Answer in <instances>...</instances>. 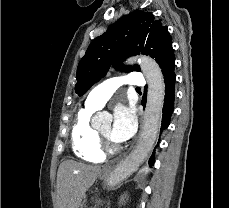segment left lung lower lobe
I'll list each match as a JSON object with an SVG mask.
<instances>
[{"label": "left lung lower lobe", "instance_id": "left-lung-lower-lobe-1", "mask_svg": "<svg viewBox=\"0 0 229 208\" xmlns=\"http://www.w3.org/2000/svg\"><path fill=\"white\" fill-rule=\"evenodd\" d=\"M175 64L174 60H172L166 70L163 73L164 83H165V98L163 105V114H162V123H161V131L166 129L170 123V116L174 110V100H175ZM146 97L142 100V105L145 107L146 105ZM155 162L154 153L149 159V166L152 167Z\"/></svg>", "mask_w": 229, "mask_h": 208}]
</instances>
